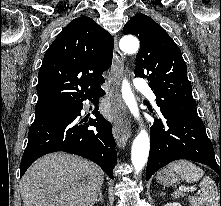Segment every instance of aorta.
<instances>
[{"label": "aorta", "mask_w": 221, "mask_h": 206, "mask_svg": "<svg viewBox=\"0 0 221 206\" xmlns=\"http://www.w3.org/2000/svg\"><path fill=\"white\" fill-rule=\"evenodd\" d=\"M120 49L128 54L136 53L139 50V41L132 35H126L121 38L119 42ZM122 97L128 106L131 114L139 120V109L135 100L134 94L130 87L128 80L124 79L121 87ZM150 149V139L148 132L145 129H141L138 135L135 137L132 150L131 161L135 169V173L138 174L145 166Z\"/></svg>", "instance_id": "762f6f07"}]
</instances>
